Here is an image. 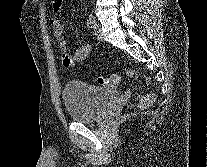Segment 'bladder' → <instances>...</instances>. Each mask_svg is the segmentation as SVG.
I'll use <instances>...</instances> for the list:
<instances>
[{
  "mask_svg": "<svg viewBox=\"0 0 207 167\" xmlns=\"http://www.w3.org/2000/svg\"><path fill=\"white\" fill-rule=\"evenodd\" d=\"M116 90L72 80L66 83L62 98L69 118L89 123L99 120L117 99Z\"/></svg>",
  "mask_w": 207,
  "mask_h": 167,
  "instance_id": "1",
  "label": "bladder"
}]
</instances>
